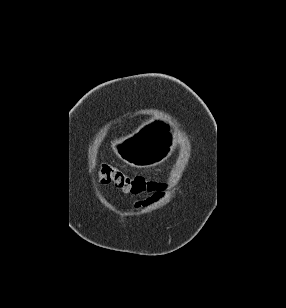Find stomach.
Returning a JSON list of instances; mask_svg holds the SVG:
<instances>
[{"mask_svg":"<svg viewBox=\"0 0 286 308\" xmlns=\"http://www.w3.org/2000/svg\"><path fill=\"white\" fill-rule=\"evenodd\" d=\"M144 125L138 131V137H121V142H112V149L123 164L135 168H146L163 158V153H175V146L162 144H177V137H170V132H176V125H171V118H144ZM157 125H165V131H157Z\"/></svg>","mask_w":286,"mask_h":308,"instance_id":"stomach-1","label":"stomach"}]
</instances>
